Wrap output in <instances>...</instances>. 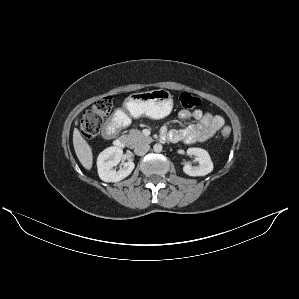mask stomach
Returning a JSON list of instances; mask_svg holds the SVG:
<instances>
[{"mask_svg":"<svg viewBox=\"0 0 299 299\" xmlns=\"http://www.w3.org/2000/svg\"><path fill=\"white\" fill-rule=\"evenodd\" d=\"M124 108L134 118L146 115L152 119H162L170 114L173 99L165 89L134 93L126 98Z\"/></svg>","mask_w":299,"mask_h":299,"instance_id":"obj_1","label":"stomach"}]
</instances>
